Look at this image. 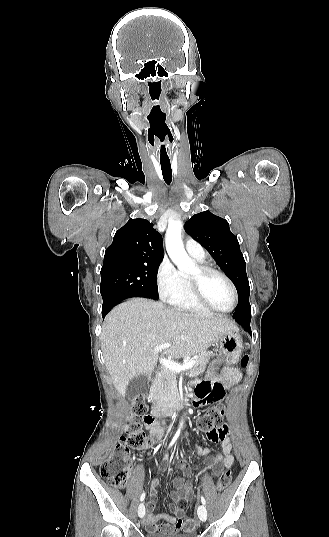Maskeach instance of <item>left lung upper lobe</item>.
Masks as SVG:
<instances>
[{
	"instance_id": "5c2ea615",
	"label": "left lung upper lobe",
	"mask_w": 329,
	"mask_h": 537,
	"mask_svg": "<svg viewBox=\"0 0 329 537\" xmlns=\"http://www.w3.org/2000/svg\"><path fill=\"white\" fill-rule=\"evenodd\" d=\"M185 228L193 239L206 248L234 283L239 304L233 317L251 315L246 263L237 237L230 231L228 222L209 211H204L193 215L186 222Z\"/></svg>"
}]
</instances>
